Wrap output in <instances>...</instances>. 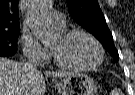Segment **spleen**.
<instances>
[{"mask_svg": "<svg viewBox=\"0 0 135 95\" xmlns=\"http://www.w3.org/2000/svg\"><path fill=\"white\" fill-rule=\"evenodd\" d=\"M110 95H123V93L120 89H114L111 91Z\"/></svg>", "mask_w": 135, "mask_h": 95, "instance_id": "obj_1", "label": "spleen"}]
</instances>
